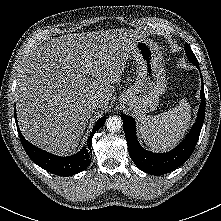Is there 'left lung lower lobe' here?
<instances>
[{
  "label": "left lung lower lobe",
  "mask_w": 221,
  "mask_h": 221,
  "mask_svg": "<svg viewBox=\"0 0 221 221\" xmlns=\"http://www.w3.org/2000/svg\"><path fill=\"white\" fill-rule=\"evenodd\" d=\"M197 68L200 70L199 66ZM200 96L201 104L195 124L185 139L176 148L167 153L158 154L142 148L136 137L135 120L131 116L121 113L129 155L140 170L158 176L173 171L188 160L194 151L205 118L203 79Z\"/></svg>",
  "instance_id": "obj_1"
}]
</instances>
